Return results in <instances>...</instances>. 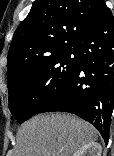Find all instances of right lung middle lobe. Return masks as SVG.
<instances>
[{"mask_svg": "<svg viewBox=\"0 0 114 156\" xmlns=\"http://www.w3.org/2000/svg\"><path fill=\"white\" fill-rule=\"evenodd\" d=\"M75 48L18 75L8 87L9 109L21 123L41 113L65 89L78 67Z\"/></svg>", "mask_w": 114, "mask_h": 156, "instance_id": "obj_1", "label": "right lung middle lobe"}]
</instances>
